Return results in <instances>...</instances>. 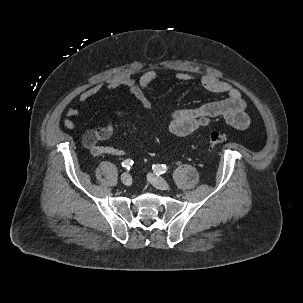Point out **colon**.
I'll list each match as a JSON object with an SVG mask.
<instances>
[{"label":"colon","mask_w":303,"mask_h":303,"mask_svg":"<svg viewBox=\"0 0 303 303\" xmlns=\"http://www.w3.org/2000/svg\"><path fill=\"white\" fill-rule=\"evenodd\" d=\"M121 111H117L115 113V115H120ZM228 140V137L220 132H212L209 136H208V145L210 147H215L217 145L223 144Z\"/></svg>","instance_id":"1"}]
</instances>
